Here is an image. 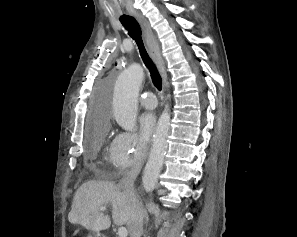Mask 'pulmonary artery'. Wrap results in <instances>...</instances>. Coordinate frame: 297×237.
<instances>
[{
	"instance_id": "1",
	"label": "pulmonary artery",
	"mask_w": 297,
	"mask_h": 237,
	"mask_svg": "<svg viewBox=\"0 0 297 237\" xmlns=\"http://www.w3.org/2000/svg\"><path fill=\"white\" fill-rule=\"evenodd\" d=\"M139 78L141 77V71L138 69V75ZM140 104L147 108V109H153L157 106V101L155 99V96L151 92H145L141 95L140 99Z\"/></svg>"
}]
</instances>
